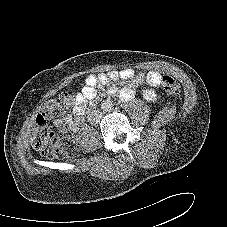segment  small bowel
<instances>
[{
    "label": "small bowel",
    "mask_w": 227,
    "mask_h": 227,
    "mask_svg": "<svg viewBox=\"0 0 227 227\" xmlns=\"http://www.w3.org/2000/svg\"><path fill=\"white\" fill-rule=\"evenodd\" d=\"M161 78V74L156 71L136 72L132 69H124L121 71L113 70L101 74H89L86 77L85 85L76 95L72 114L66 115L62 120L57 121V124H65L72 131H78L81 127L82 116L85 112L87 103L93 100L97 95V87L106 86L110 82L118 80H130L131 83L122 89L110 87L108 93L111 96L119 94L122 99H131L135 86L143 82H147L151 86H157L160 84Z\"/></svg>",
    "instance_id": "obj_1"
}]
</instances>
